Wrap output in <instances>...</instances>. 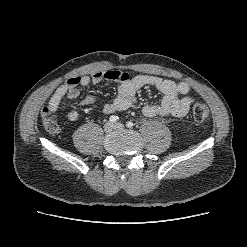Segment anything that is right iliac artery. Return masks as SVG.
I'll return each instance as SVG.
<instances>
[{
	"mask_svg": "<svg viewBox=\"0 0 247 247\" xmlns=\"http://www.w3.org/2000/svg\"><path fill=\"white\" fill-rule=\"evenodd\" d=\"M118 119H119L118 116L112 115V116H110L109 121L111 123H115L118 121Z\"/></svg>",
	"mask_w": 247,
	"mask_h": 247,
	"instance_id": "82829eb1",
	"label": "right iliac artery"
}]
</instances>
